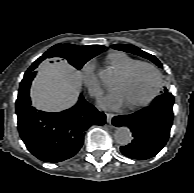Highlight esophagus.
Segmentation results:
<instances>
[{
    "label": "esophagus",
    "instance_id": "esophagus-1",
    "mask_svg": "<svg viewBox=\"0 0 194 193\" xmlns=\"http://www.w3.org/2000/svg\"><path fill=\"white\" fill-rule=\"evenodd\" d=\"M114 117L113 113H107L106 114V120L108 123H111L112 118Z\"/></svg>",
    "mask_w": 194,
    "mask_h": 193
}]
</instances>
